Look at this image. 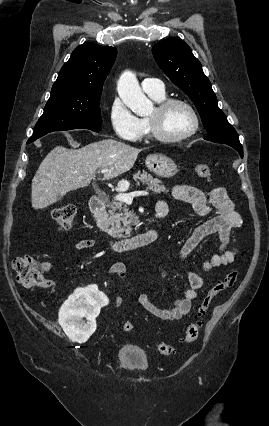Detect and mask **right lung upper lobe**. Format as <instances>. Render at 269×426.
Segmentation results:
<instances>
[{"mask_svg": "<svg viewBox=\"0 0 269 426\" xmlns=\"http://www.w3.org/2000/svg\"><path fill=\"white\" fill-rule=\"evenodd\" d=\"M116 55L115 47L90 42L78 46L61 68L51 94L65 92L71 96L101 95L103 83Z\"/></svg>", "mask_w": 269, "mask_h": 426, "instance_id": "1", "label": "right lung upper lobe"}]
</instances>
